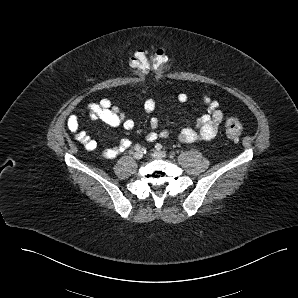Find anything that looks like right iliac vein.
Returning a JSON list of instances; mask_svg holds the SVG:
<instances>
[{
    "mask_svg": "<svg viewBox=\"0 0 298 298\" xmlns=\"http://www.w3.org/2000/svg\"><path fill=\"white\" fill-rule=\"evenodd\" d=\"M143 157V153L141 151H137L134 153L133 158L135 160H140Z\"/></svg>",
    "mask_w": 298,
    "mask_h": 298,
    "instance_id": "obj_1",
    "label": "right iliac vein"
}]
</instances>
